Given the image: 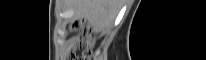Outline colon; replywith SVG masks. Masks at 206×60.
Segmentation results:
<instances>
[{
  "instance_id": "obj_1",
  "label": "colon",
  "mask_w": 206,
  "mask_h": 60,
  "mask_svg": "<svg viewBox=\"0 0 206 60\" xmlns=\"http://www.w3.org/2000/svg\"><path fill=\"white\" fill-rule=\"evenodd\" d=\"M86 32H88L87 29H83V33L85 34ZM79 50H83L82 54H79L78 51ZM90 54V45L87 46L85 49H83L82 45H77L74 49V52L72 53V58L73 59H87L89 57Z\"/></svg>"
}]
</instances>
